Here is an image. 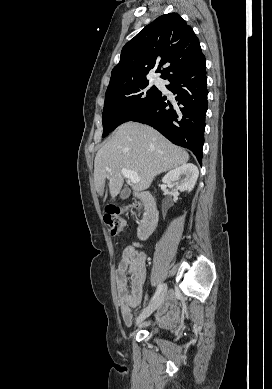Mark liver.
Returning a JSON list of instances; mask_svg holds the SVG:
<instances>
[{"label":"liver","instance_id":"liver-1","mask_svg":"<svg viewBox=\"0 0 272 389\" xmlns=\"http://www.w3.org/2000/svg\"><path fill=\"white\" fill-rule=\"evenodd\" d=\"M188 160L189 155L184 149L172 144L152 127L127 122L119 126L97 152L94 161L95 186L102 195L105 180L108 179L110 195L115 199L123 186V168L138 174L140 182L132 188L143 191L150 187L154 177Z\"/></svg>","mask_w":272,"mask_h":389}]
</instances>
